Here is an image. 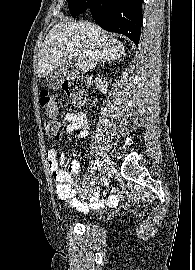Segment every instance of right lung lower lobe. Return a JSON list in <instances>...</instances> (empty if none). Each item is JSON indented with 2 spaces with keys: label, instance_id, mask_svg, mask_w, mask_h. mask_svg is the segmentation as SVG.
Returning a JSON list of instances; mask_svg holds the SVG:
<instances>
[{
  "label": "right lung lower lobe",
  "instance_id": "1",
  "mask_svg": "<svg viewBox=\"0 0 195 270\" xmlns=\"http://www.w3.org/2000/svg\"><path fill=\"white\" fill-rule=\"evenodd\" d=\"M143 0H88V10L103 29L121 33L139 43Z\"/></svg>",
  "mask_w": 195,
  "mask_h": 270
}]
</instances>
